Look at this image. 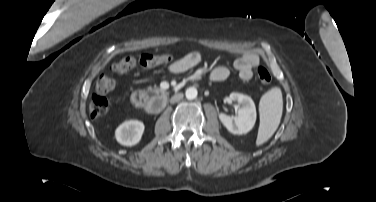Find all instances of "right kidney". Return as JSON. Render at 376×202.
<instances>
[{"label": "right kidney", "instance_id": "right-kidney-1", "mask_svg": "<svg viewBox=\"0 0 376 202\" xmlns=\"http://www.w3.org/2000/svg\"><path fill=\"white\" fill-rule=\"evenodd\" d=\"M144 124L138 120L123 122L115 130V137L118 143L124 146L136 145L143 134Z\"/></svg>", "mask_w": 376, "mask_h": 202}]
</instances>
